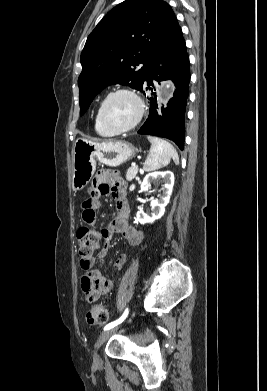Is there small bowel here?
<instances>
[{
    "label": "small bowel",
    "instance_id": "1",
    "mask_svg": "<svg viewBox=\"0 0 267 391\" xmlns=\"http://www.w3.org/2000/svg\"><path fill=\"white\" fill-rule=\"evenodd\" d=\"M104 195H111L114 198L118 215L102 228L101 236L105 244L96 257L91 258L88 264L80 262L83 270L81 290L84 299L89 303L95 302L114 288L112 280L107 279L100 270L93 268L98 261L107 256L113 235L121 234L129 246H137L143 240V233L129 223L130 205L126 196V184L119 174L112 170H100L94 177L89 197L81 206L83 222L88 226L96 224L97 210L101 206L100 197ZM126 259V253H121L114 262V268L122 270Z\"/></svg>",
    "mask_w": 267,
    "mask_h": 391
}]
</instances>
